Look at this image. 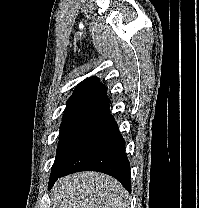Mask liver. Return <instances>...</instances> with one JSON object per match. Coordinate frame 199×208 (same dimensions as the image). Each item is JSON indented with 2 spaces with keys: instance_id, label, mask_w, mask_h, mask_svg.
Segmentation results:
<instances>
[{
  "instance_id": "obj_1",
  "label": "liver",
  "mask_w": 199,
  "mask_h": 208,
  "mask_svg": "<svg viewBox=\"0 0 199 208\" xmlns=\"http://www.w3.org/2000/svg\"><path fill=\"white\" fill-rule=\"evenodd\" d=\"M53 208H129V195L113 177L85 171L58 180L51 191Z\"/></svg>"
}]
</instances>
